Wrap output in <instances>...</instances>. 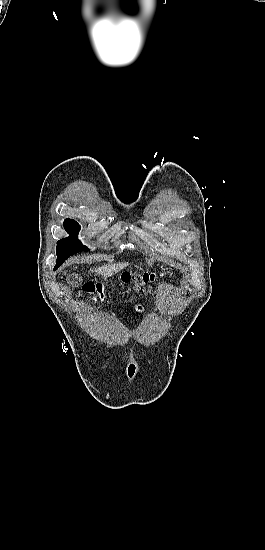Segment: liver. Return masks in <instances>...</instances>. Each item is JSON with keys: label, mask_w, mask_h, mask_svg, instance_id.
Wrapping results in <instances>:
<instances>
[{"label": "liver", "mask_w": 265, "mask_h": 550, "mask_svg": "<svg viewBox=\"0 0 265 550\" xmlns=\"http://www.w3.org/2000/svg\"><path fill=\"white\" fill-rule=\"evenodd\" d=\"M126 265L127 263L108 264L97 268L95 272L103 276H111L114 273L123 269Z\"/></svg>", "instance_id": "obj_1"}]
</instances>
